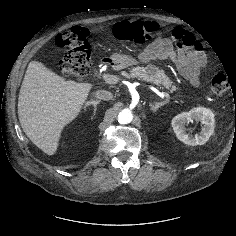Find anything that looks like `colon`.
<instances>
[{
	"label": "colon",
	"mask_w": 236,
	"mask_h": 236,
	"mask_svg": "<svg viewBox=\"0 0 236 236\" xmlns=\"http://www.w3.org/2000/svg\"><path fill=\"white\" fill-rule=\"evenodd\" d=\"M159 26L154 21H122L116 24L114 35L119 40L142 44L149 41L158 31ZM89 32L85 27L76 26L60 33L56 38L59 47L65 50L60 68L64 75L80 78L90 70L91 50L88 42ZM211 90L220 95L232 86L223 74L211 78Z\"/></svg>",
	"instance_id": "obj_1"
}]
</instances>
